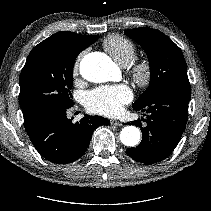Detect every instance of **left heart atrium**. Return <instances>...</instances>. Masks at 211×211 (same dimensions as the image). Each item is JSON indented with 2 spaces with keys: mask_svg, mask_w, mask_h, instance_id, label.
<instances>
[{
  "mask_svg": "<svg viewBox=\"0 0 211 211\" xmlns=\"http://www.w3.org/2000/svg\"><path fill=\"white\" fill-rule=\"evenodd\" d=\"M131 99V91L126 86H105L90 91L85 105L93 113L112 116L119 113Z\"/></svg>",
  "mask_w": 211,
  "mask_h": 211,
  "instance_id": "obj_1",
  "label": "left heart atrium"
}]
</instances>
